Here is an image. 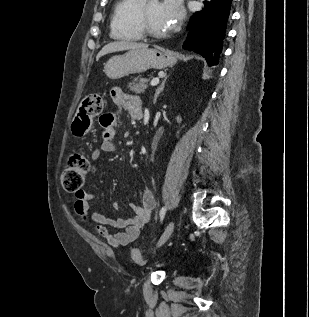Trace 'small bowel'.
<instances>
[{
  "instance_id": "obj_1",
  "label": "small bowel",
  "mask_w": 309,
  "mask_h": 317,
  "mask_svg": "<svg viewBox=\"0 0 309 317\" xmlns=\"http://www.w3.org/2000/svg\"><path fill=\"white\" fill-rule=\"evenodd\" d=\"M111 98L114 104L120 109H125L131 118H142V103L138 97L127 94L121 88L116 87L111 90ZM99 121L103 130V137L100 147L94 150L91 155L93 161L98 160L103 153L114 151L117 146V114H103L100 116ZM94 199V194L85 190H80L75 193L73 197V208L82 221L88 220L90 203ZM155 206L156 201L152 191L144 189L141 193V204L131 203L129 205V208L133 211L132 217L111 218L99 212H93L91 219L95 223L96 232L106 240L108 245L113 248H118L127 246L138 239L141 230L150 220ZM115 207H118V205L115 204ZM109 227H113L117 229V231L112 232Z\"/></svg>"
}]
</instances>
